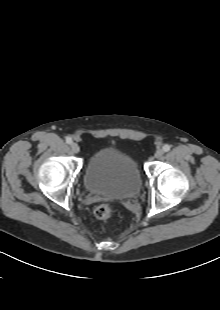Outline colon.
<instances>
[{
  "mask_svg": "<svg viewBox=\"0 0 220 310\" xmlns=\"http://www.w3.org/2000/svg\"><path fill=\"white\" fill-rule=\"evenodd\" d=\"M94 213L96 218L104 220L110 218L113 215L114 208L109 204H102L95 209Z\"/></svg>",
  "mask_w": 220,
  "mask_h": 310,
  "instance_id": "5ec220e1",
  "label": "colon"
}]
</instances>
